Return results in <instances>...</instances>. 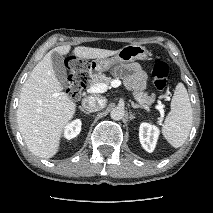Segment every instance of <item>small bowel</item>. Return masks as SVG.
<instances>
[{"instance_id":"obj_1","label":"small bowel","mask_w":213,"mask_h":213,"mask_svg":"<svg viewBox=\"0 0 213 213\" xmlns=\"http://www.w3.org/2000/svg\"><path fill=\"white\" fill-rule=\"evenodd\" d=\"M129 73L128 82L130 85L142 89L146 85V73L138 64H130L126 66Z\"/></svg>"}]
</instances>
